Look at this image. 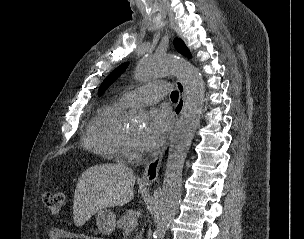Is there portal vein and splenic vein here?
Wrapping results in <instances>:
<instances>
[{
  "label": "portal vein and splenic vein",
  "instance_id": "18ae733b",
  "mask_svg": "<svg viewBox=\"0 0 304 239\" xmlns=\"http://www.w3.org/2000/svg\"><path fill=\"white\" fill-rule=\"evenodd\" d=\"M137 226V220H133L129 223V226L128 228H126V230H130V229H133Z\"/></svg>",
  "mask_w": 304,
  "mask_h": 239
}]
</instances>
